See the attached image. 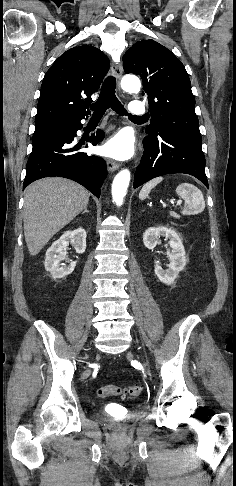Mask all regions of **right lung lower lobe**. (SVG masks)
Returning <instances> with one entry per match:
<instances>
[{
    "instance_id": "right-lung-lower-lobe-1",
    "label": "right lung lower lobe",
    "mask_w": 236,
    "mask_h": 486,
    "mask_svg": "<svg viewBox=\"0 0 236 486\" xmlns=\"http://www.w3.org/2000/svg\"><path fill=\"white\" fill-rule=\"evenodd\" d=\"M88 115H73L35 126L23 189L37 179L58 176L72 179L100 197L107 175L106 163L102 158L79 152L82 143L75 144L74 139L82 129L80 121ZM96 133L90 137L92 145L104 138L103 131Z\"/></svg>"
}]
</instances>
